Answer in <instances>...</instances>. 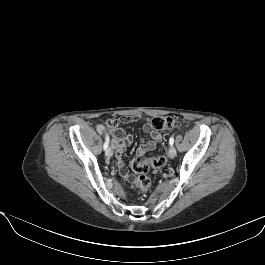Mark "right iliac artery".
I'll return each instance as SVG.
<instances>
[{
  "label": "right iliac artery",
  "instance_id": "right-iliac-artery-1",
  "mask_svg": "<svg viewBox=\"0 0 265 265\" xmlns=\"http://www.w3.org/2000/svg\"><path fill=\"white\" fill-rule=\"evenodd\" d=\"M108 145H109V136L107 134L106 138H105V143L103 145L104 150H106L108 148Z\"/></svg>",
  "mask_w": 265,
  "mask_h": 265
}]
</instances>
